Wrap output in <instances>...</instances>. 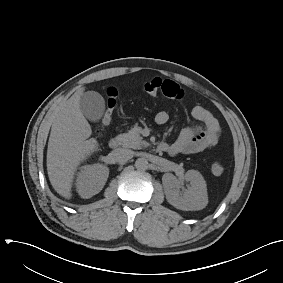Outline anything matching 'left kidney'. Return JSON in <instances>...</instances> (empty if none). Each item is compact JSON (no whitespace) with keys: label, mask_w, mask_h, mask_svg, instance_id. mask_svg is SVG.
I'll return each mask as SVG.
<instances>
[{"label":"left kidney","mask_w":283,"mask_h":283,"mask_svg":"<svg viewBox=\"0 0 283 283\" xmlns=\"http://www.w3.org/2000/svg\"><path fill=\"white\" fill-rule=\"evenodd\" d=\"M185 179L190 182L183 194L180 193L181 181L173 174L162 178L167 201L177 209L192 211L201 210L208 204L206 182L200 172L188 170Z\"/></svg>","instance_id":"5707ae66"}]
</instances>
